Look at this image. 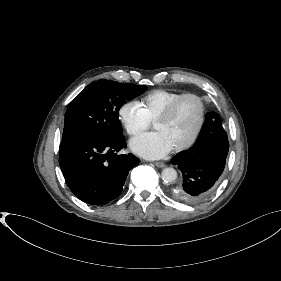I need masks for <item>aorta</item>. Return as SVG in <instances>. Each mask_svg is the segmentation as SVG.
Listing matches in <instances>:
<instances>
[{
  "label": "aorta",
  "instance_id": "1",
  "mask_svg": "<svg viewBox=\"0 0 281 281\" xmlns=\"http://www.w3.org/2000/svg\"><path fill=\"white\" fill-rule=\"evenodd\" d=\"M161 177L164 182L172 183L177 178V171L172 167L165 168L162 171Z\"/></svg>",
  "mask_w": 281,
  "mask_h": 281
}]
</instances>
